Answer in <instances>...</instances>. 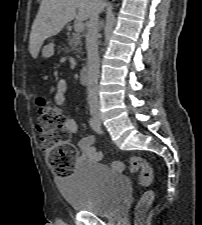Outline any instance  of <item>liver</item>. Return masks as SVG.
Here are the masks:
<instances>
[{"label":"liver","mask_w":202,"mask_h":225,"mask_svg":"<svg viewBox=\"0 0 202 225\" xmlns=\"http://www.w3.org/2000/svg\"><path fill=\"white\" fill-rule=\"evenodd\" d=\"M104 7L103 0H42L30 33V54L36 58L44 40L58 34L74 18L85 21Z\"/></svg>","instance_id":"liver-1"}]
</instances>
